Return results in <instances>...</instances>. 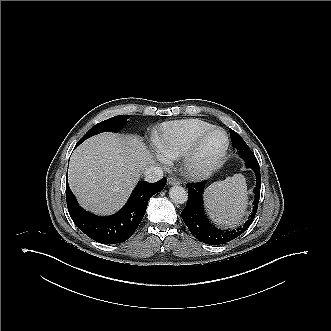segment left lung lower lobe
<instances>
[{
	"label": "left lung lower lobe",
	"instance_id": "obj_1",
	"mask_svg": "<svg viewBox=\"0 0 331 331\" xmlns=\"http://www.w3.org/2000/svg\"><path fill=\"white\" fill-rule=\"evenodd\" d=\"M233 147L238 150L242 147V140L236 137H231ZM246 166L251 168L256 175V187L254 188L255 202L254 211L250 215V219L241 227L234 230H220L216 228L207 219L203 210V190L205 181L199 183L188 184V201L186 207L182 211V219L189 228L192 235L201 242L211 245H220L227 243L240 236L249 227L255 217L260 197V169L259 164H251L246 162Z\"/></svg>",
	"mask_w": 331,
	"mask_h": 331
}]
</instances>
